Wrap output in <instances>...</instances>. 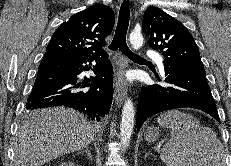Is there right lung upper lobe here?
<instances>
[{
    "label": "right lung upper lobe",
    "instance_id": "obj_1",
    "mask_svg": "<svg viewBox=\"0 0 231 166\" xmlns=\"http://www.w3.org/2000/svg\"><path fill=\"white\" fill-rule=\"evenodd\" d=\"M111 8L98 4L72 15L54 32L46 53L69 57H94L105 53V38L114 26Z\"/></svg>",
    "mask_w": 231,
    "mask_h": 166
}]
</instances>
